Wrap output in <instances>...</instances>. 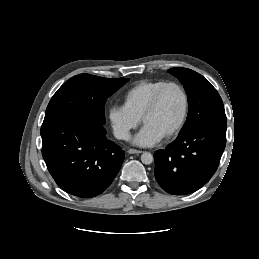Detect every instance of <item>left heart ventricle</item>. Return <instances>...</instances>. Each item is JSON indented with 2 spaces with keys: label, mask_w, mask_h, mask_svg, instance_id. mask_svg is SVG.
<instances>
[{
  "label": "left heart ventricle",
  "mask_w": 259,
  "mask_h": 259,
  "mask_svg": "<svg viewBox=\"0 0 259 259\" xmlns=\"http://www.w3.org/2000/svg\"><path fill=\"white\" fill-rule=\"evenodd\" d=\"M183 106L181 92L176 87L168 88L161 98L158 109L145 121V126L161 137L165 136L179 122Z\"/></svg>",
  "instance_id": "1"
}]
</instances>
